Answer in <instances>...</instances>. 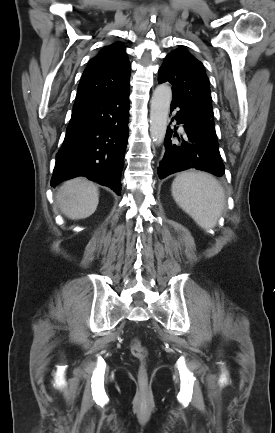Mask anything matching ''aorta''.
I'll return each instance as SVG.
<instances>
[{"instance_id":"obj_1","label":"aorta","mask_w":275,"mask_h":433,"mask_svg":"<svg viewBox=\"0 0 275 433\" xmlns=\"http://www.w3.org/2000/svg\"><path fill=\"white\" fill-rule=\"evenodd\" d=\"M171 99L172 89L167 83L158 85L153 92L150 107V136L156 145H160L166 135Z\"/></svg>"}]
</instances>
